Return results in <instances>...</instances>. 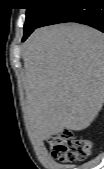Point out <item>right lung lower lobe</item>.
I'll return each mask as SVG.
<instances>
[{"label":"right lung lower lobe","instance_id":"98d812e1","mask_svg":"<svg viewBox=\"0 0 104 169\" xmlns=\"http://www.w3.org/2000/svg\"><path fill=\"white\" fill-rule=\"evenodd\" d=\"M57 6L39 27L64 22L86 24L104 32V0H55ZM32 32L24 35V41Z\"/></svg>","mask_w":104,"mask_h":169}]
</instances>
